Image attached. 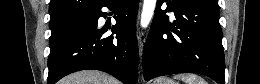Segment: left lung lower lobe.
<instances>
[{
  "mask_svg": "<svg viewBox=\"0 0 260 84\" xmlns=\"http://www.w3.org/2000/svg\"><path fill=\"white\" fill-rule=\"evenodd\" d=\"M164 2L157 1L144 48L145 80L192 72L224 84L225 60L218 1L172 0L163 11ZM169 11L175 14L172 23L166 15Z\"/></svg>",
  "mask_w": 260,
  "mask_h": 84,
  "instance_id": "0a47b994",
  "label": "left lung lower lobe"
}]
</instances>
